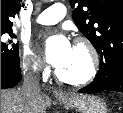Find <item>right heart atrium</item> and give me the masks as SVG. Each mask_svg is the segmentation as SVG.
Returning <instances> with one entry per match:
<instances>
[{"instance_id":"obj_1","label":"right heart atrium","mask_w":123,"mask_h":113,"mask_svg":"<svg viewBox=\"0 0 123 113\" xmlns=\"http://www.w3.org/2000/svg\"><path fill=\"white\" fill-rule=\"evenodd\" d=\"M23 69L30 74H41L46 68L41 57L30 47L24 46L21 54Z\"/></svg>"}]
</instances>
